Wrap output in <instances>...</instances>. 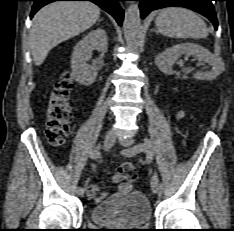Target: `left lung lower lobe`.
<instances>
[{
	"instance_id": "0a47b994",
	"label": "left lung lower lobe",
	"mask_w": 234,
	"mask_h": 231,
	"mask_svg": "<svg viewBox=\"0 0 234 231\" xmlns=\"http://www.w3.org/2000/svg\"><path fill=\"white\" fill-rule=\"evenodd\" d=\"M140 1L141 17L144 18L150 11L168 6H182L194 10L207 17L217 29L218 23L213 0H137Z\"/></svg>"
}]
</instances>
